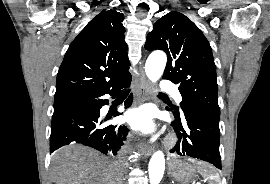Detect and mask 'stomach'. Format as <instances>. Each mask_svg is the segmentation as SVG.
<instances>
[{
	"mask_svg": "<svg viewBox=\"0 0 270 184\" xmlns=\"http://www.w3.org/2000/svg\"><path fill=\"white\" fill-rule=\"evenodd\" d=\"M170 176L179 184H189L196 176V169L189 163L181 160H172L169 163Z\"/></svg>",
	"mask_w": 270,
	"mask_h": 184,
	"instance_id": "0dacf381",
	"label": "stomach"
}]
</instances>
